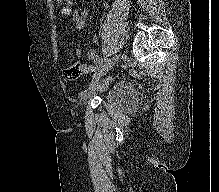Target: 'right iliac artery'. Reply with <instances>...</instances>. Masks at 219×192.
<instances>
[{
  "instance_id": "right-iliac-artery-1",
  "label": "right iliac artery",
  "mask_w": 219,
  "mask_h": 192,
  "mask_svg": "<svg viewBox=\"0 0 219 192\" xmlns=\"http://www.w3.org/2000/svg\"><path fill=\"white\" fill-rule=\"evenodd\" d=\"M105 60H106V57L101 58V59L99 60L98 66H97L96 68L101 67V66L103 65V62H104Z\"/></svg>"
}]
</instances>
